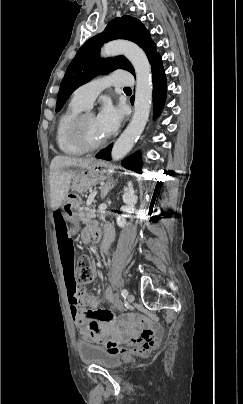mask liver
Segmentation results:
<instances>
[{
    "label": "liver",
    "instance_id": "liver-1",
    "mask_svg": "<svg viewBox=\"0 0 243 404\" xmlns=\"http://www.w3.org/2000/svg\"><path fill=\"white\" fill-rule=\"evenodd\" d=\"M94 162V158H69V156H55L50 164V200L51 208H60L63 200L68 196L71 180L75 174L70 168H87Z\"/></svg>",
    "mask_w": 243,
    "mask_h": 404
}]
</instances>
